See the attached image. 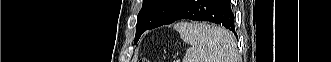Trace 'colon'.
Instances as JSON below:
<instances>
[{
	"mask_svg": "<svg viewBox=\"0 0 331 62\" xmlns=\"http://www.w3.org/2000/svg\"><path fill=\"white\" fill-rule=\"evenodd\" d=\"M138 62H149V61L146 59H140Z\"/></svg>",
	"mask_w": 331,
	"mask_h": 62,
	"instance_id": "5ec220e1",
	"label": "colon"
}]
</instances>
